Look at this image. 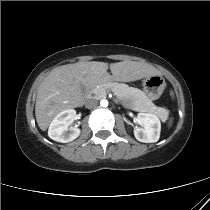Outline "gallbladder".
Wrapping results in <instances>:
<instances>
[{
  "label": "gallbladder",
  "instance_id": "gallbladder-1",
  "mask_svg": "<svg viewBox=\"0 0 210 210\" xmlns=\"http://www.w3.org/2000/svg\"><path fill=\"white\" fill-rule=\"evenodd\" d=\"M82 90H85V87L84 86H81Z\"/></svg>",
  "mask_w": 210,
  "mask_h": 210
}]
</instances>
